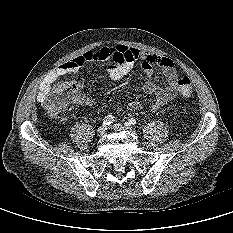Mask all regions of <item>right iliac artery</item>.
<instances>
[{
  "label": "right iliac artery",
  "mask_w": 233,
  "mask_h": 233,
  "mask_svg": "<svg viewBox=\"0 0 233 233\" xmlns=\"http://www.w3.org/2000/svg\"><path fill=\"white\" fill-rule=\"evenodd\" d=\"M113 121H115V117L113 115H107L104 119H103V125H110L113 123Z\"/></svg>",
  "instance_id": "82829eb1"
}]
</instances>
